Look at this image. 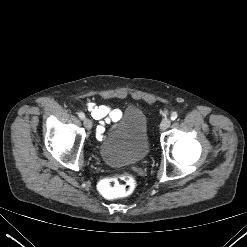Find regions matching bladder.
Masks as SVG:
<instances>
[{
    "instance_id": "obj_1",
    "label": "bladder",
    "mask_w": 247,
    "mask_h": 247,
    "mask_svg": "<svg viewBox=\"0 0 247 247\" xmlns=\"http://www.w3.org/2000/svg\"><path fill=\"white\" fill-rule=\"evenodd\" d=\"M149 149L147 117L141 109L130 106L109 136L101 142L99 153L107 165L119 167L143 161Z\"/></svg>"
}]
</instances>
